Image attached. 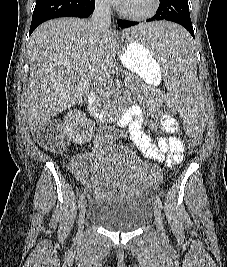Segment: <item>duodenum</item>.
<instances>
[{
    "label": "duodenum",
    "mask_w": 227,
    "mask_h": 267,
    "mask_svg": "<svg viewBox=\"0 0 227 267\" xmlns=\"http://www.w3.org/2000/svg\"><path fill=\"white\" fill-rule=\"evenodd\" d=\"M85 103L90 113L100 122H106L112 118L107 112L99 108L94 91L87 93Z\"/></svg>",
    "instance_id": "obj_1"
}]
</instances>
